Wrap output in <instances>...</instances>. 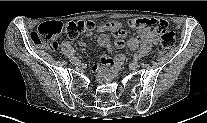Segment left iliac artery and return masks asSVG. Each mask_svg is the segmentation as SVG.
Wrapping results in <instances>:
<instances>
[{
  "label": "left iliac artery",
  "mask_w": 207,
  "mask_h": 123,
  "mask_svg": "<svg viewBox=\"0 0 207 123\" xmlns=\"http://www.w3.org/2000/svg\"><path fill=\"white\" fill-rule=\"evenodd\" d=\"M134 59H135V60H140V59H141V55L138 54V53H136V54L134 55Z\"/></svg>",
  "instance_id": "obj_1"
}]
</instances>
